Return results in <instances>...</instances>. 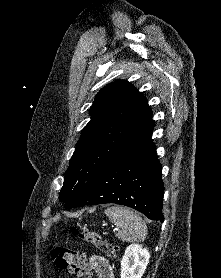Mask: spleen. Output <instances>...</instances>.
I'll return each mask as SVG.
<instances>
[{
	"mask_svg": "<svg viewBox=\"0 0 221 278\" xmlns=\"http://www.w3.org/2000/svg\"><path fill=\"white\" fill-rule=\"evenodd\" d=\"M104 213L117 227L116 236L121 241L133 242L146 238V223L132 210L122 206H112L107 208Z\"/></svg>",
	"mask_w": 221,
	"mask_h": 278,
	"instance_id": "spleen-1",
	"label": "spleen"
}]
</instances>
